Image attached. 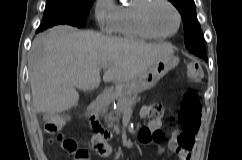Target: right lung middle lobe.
Segmentation results:
<instances>
[{
	"label": "right lung middle lobe",
	"instance_id": "right-lung-middle-lobe-1",
	"mask_svg": "<svg viewBox=\"0 0 242 160\" xmlns=\"http://www.w3.org/2000/svg\"><path fill=\"white\" fill-rule=\"evenodd\" d=\"M94 0H47L43 23L37 32L57 24H69L82 27Z\"/></svg>",
	"mask_w": 242,
	"mask_h": 160
}]
</instances>
